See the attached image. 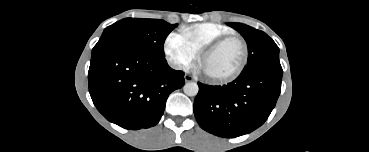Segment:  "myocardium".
Returning a JSON list of instances; mask_svg holds the SVG:
<instances>
[{"mask_svg": "<svg viewBox=\"0 0 369 152\" xmlns=\"http://www.w3.org/2000/svg\"><path fill=\"white\" fill-rule=\"evenodd\" d=\"M229 41H238L241 44L242 49H243L242 61L235 71H233L232 73L226 76L212 77V76H208L205 74L206 78L214 84H224V83H228V82L235 80L237 77L241 75V73L244 71L248 63V60H249L248 45L241 36L234 35V34L220 37L214 40L213 42H211L210 44H208L207 46H205L199 53V62L201 63V61L203 60L205 56L219 49L221 46H223Z\"/></svg>", "mask_w": 369, "mask_h": 152, "instance_id": "myocardium-1", "label": "myocardium"}]
</instances>
